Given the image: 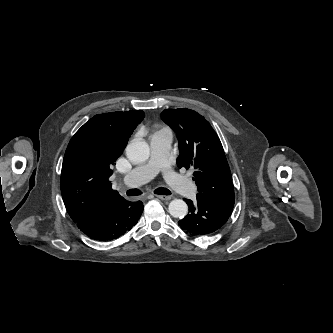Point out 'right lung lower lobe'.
Masks as SVG:
<instances>
[{
	"instance_id": "right-lung-lower-lobe-1",
	"label": "right lung lower lobe",
	"mask_w": 333,
	"mask_h": 333,
	"mask_svg": "<svg viewBox=\"0 0 333 333\" xmlns=\"http://www.w3.org/2000/svg\"><path fill=\"white\" fill-rule=\"evenodd\" d=\"M144 205L141 201H126L89 222L76 223L88 237L98 241H111L129 231L140 219Z\"/></svg>"
}]
</instances>
